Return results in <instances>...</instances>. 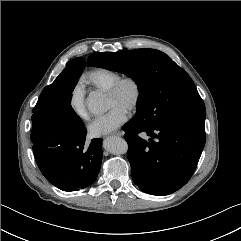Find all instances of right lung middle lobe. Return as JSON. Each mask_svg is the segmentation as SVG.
<instances>
[{"instance_id": "dd1d6c3e", "label": "right lung middle lobe", "mask_w": 241, "mask_h": 241, "mask_svg": "<svg viewBox=\"0 0 241 241\" xmlns=\"http://www.w3.org/2000/svg\"><path fill=\"white\" fill-rule=\"evenodd\" d=\"M84 67V60L78 57L44 88L32 111V129L38 134L52 135L65 143L86 129L71 106L72 92Z\"/></svg>"}]
</instances>
